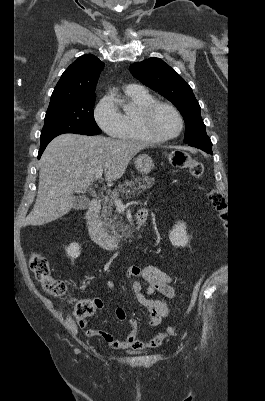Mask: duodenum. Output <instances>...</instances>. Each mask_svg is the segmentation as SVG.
Returning a JSON list of instances; mask_svg holds the SVG:
<instances>
[{
  "label": "duodenum",
  "instance_id": "1",
  "mask_svg": "<svg viewBox=\"0 0 265 401\" xmlns=\"http://www.w3.org/2000/svg\"><path fill=\"white\" fill-rule=\"evenodd\" d=\"M99 210L100 201L98 199H93L85 213V222L91 239L99 246L107 250L118 249L123 243L133 240L138 236V234L141 233L147 220V212L145 210H139L135 217V226L132 233L127 239H118L109 235L99 225L97 220Z\"/></svg>",
  "mask_w": 265,
  "mask_h": 401
}]
</instances>
